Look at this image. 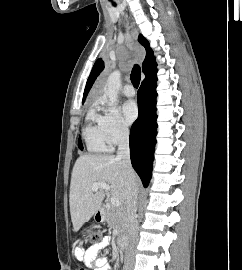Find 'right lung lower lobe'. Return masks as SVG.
I'll list each match as a JSON object with an SVG mask.
<instances>
[{"instance_id": "1", "label": "right lung lower lobe", "mask_w": 242, "mask_h": 270, "mask_svg": "<svg viewBox=\"0 0 242 270\" xmlns=\"http://www.w3.org/2000/svg\"><path fill=\"white\" fill-rule=\"evenodd\" d=\"M156 73L154 69L146 75L138 90L139 116L131 127L129 139L132 166L145 187L151 178L156 144Z\"/></svg>"}]
</instances>
